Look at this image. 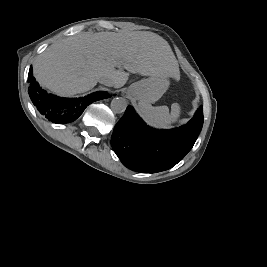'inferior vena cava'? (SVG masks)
I'll use <instances>...</instances> for the list:
<instances>
[{
    "mask_svg": "<svg viewBox=\"0 0 267 267\" xmlns=\"http://www.w3.org/2000/svg\"><path fill=\"white\" fill-rule=\"evenodd\" d=\"M99 83L105 85V86H108V87H112L114 86V81L110 78H107V77H101L99 79Z\"/></svg>",
    "mask_w": 267,
    "mask_h": 267,
    "instance_id": "obj_1",
    "label": "inferior vena cava"
}]
</instances>
